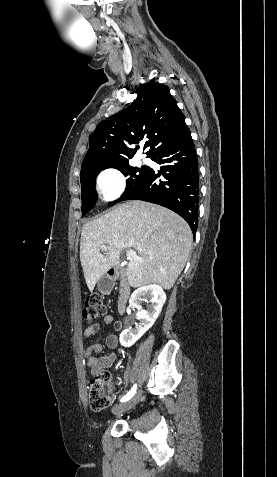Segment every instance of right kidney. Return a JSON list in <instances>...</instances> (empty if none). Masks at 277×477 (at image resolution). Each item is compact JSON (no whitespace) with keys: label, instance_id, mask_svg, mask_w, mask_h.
I'll use <instances>...</instances> for the list:
<instances>
[{"label":"right kidney","instance_id":"1","mask_svg":"<svg viewBox=\"0 0 277 477\" xmlns=\"http://www.w3.org/2000/svg\"><path fill=\"white\" fill-rule=\"evenodd\" d=\"M143 300H149L151 303L147 310L142 309ZM165 301L166 294L159 285L151 284L136 289L130 297L129 305L138 309L136 317L140 323L136 324L135 328H132L130 324L126 326V329L120 334V344L130 347L136 343L153 326Z\"/></svg>","mask_w":277,"mask_h":477}]
</instances>
